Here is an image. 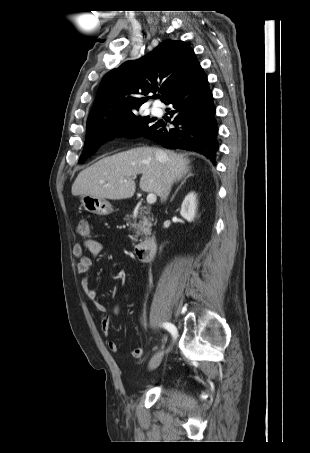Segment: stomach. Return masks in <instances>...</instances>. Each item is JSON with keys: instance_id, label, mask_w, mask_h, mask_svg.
<instances>
[{"instance_id": "obj_1", "label": "stomach", "mask_w": 310, "mask_h": 453, "mask_svg": "<svg viewBox=\"0 0 310 453\" xmlns=\"http://www.w3.org/2000/svg\"><path fill=\"white\" fill-rule=\"evenodd\" d=\"M81 204L90 213L105 216L113 212L112 205L106 200L90 195L81 196Z\"/></svg>"}]
</instances>
